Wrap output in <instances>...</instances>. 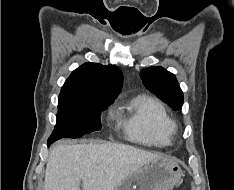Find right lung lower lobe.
<instances>
[{
    "mask_svg": "<svg viewBox=\"0 0 234 190\" xmlns=\"http://www.w3.org/2000/svg\"><path fill=\"white\" fill-rule=\"evenodd\" d=\"M52 142L48 141V146L51 144Z\"/></svg>",
    "mask_w": 234,
    "mask_h": 190,
    "instance_id": "right-lung-lower-lobe-1",
    "label": "right lung lower lobe"
}]
</instances>
